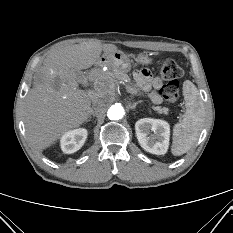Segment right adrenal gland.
Returning <instances> with one entry per match:
<instances>
[{
	"instance_id": "obj_1",
	"label": "right adrenal gland",
	"mask_w": 233,
	"mask_h": 233,
	"mask_svg": "<svg viewBox=\"0 0 233 233\" xmlns=\"http://www.w3.org/2000/svg\"><path fill=\"white\" fill-rule=\"evenodd\" d=\"M92 116L95 117V113H94L93 109H91L90 115H89L86 122H89L91 120Z\"/></svg>"
}]
</instances>
